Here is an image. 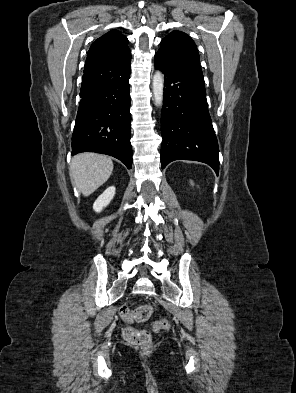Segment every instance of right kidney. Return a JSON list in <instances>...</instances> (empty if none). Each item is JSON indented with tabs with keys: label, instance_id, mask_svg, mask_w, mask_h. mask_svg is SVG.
Instances as JSON below:
<instances>
[{
	"label": "right kidney",
	"instance_id": "obj_1",
	"mask_svg": "<svg viewBox=\"0 0 296 393\" xmlns=\"http://www.w3.org/2000/svg\"><path fill=\"white\" fill-rule=\"evenodd\" d=\"M115 187L111 186L107 188L94 202L93 209L95 212H101L113 199L115 195Z\"/></svg>",
	"mask_w": 296,
	"mask_h": 393
}]
</instances>
